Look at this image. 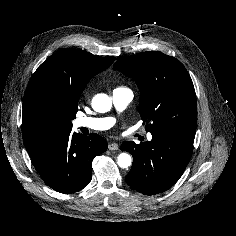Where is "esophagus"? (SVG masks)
Listing matches in <instances>:
<instances>
[{
    "label": "esophagus",
    "instance_id": "obj_1",
    "mask_svg": "<svg viewBox=\"0 0 236 236\" xmlns=\"http://www.w3.org/2000/svg\"><path fill=\"white\" fill-rule=\"evenodd\" d=\"M108 149L111 150V151H116V150L119 149V146H118L117 143H110V144L108 145Z\"/></svg>",
    "mask_w": 236,
    "mask_h": 236
}]
</instances>
